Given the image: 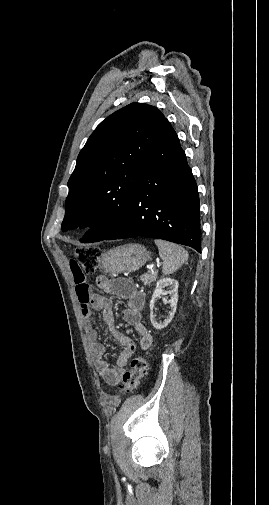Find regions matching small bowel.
Segmentation results:
<instances>
[{"mask_svg":"<svg viewBox=\"0 0 269 505\" xmlns=\"http://www.w3.org/2000/svg\"><path fill=\"white\" fill-rule=\"evenodd\" d=\"M69 265L76 284V294L82 308L85 333L96 370L105 383L115 385L127 371L128 361L134 354L136 345L129 336L115 328L111 300L90 292L87 280L96 279L99 276V271L96 269L94 274H85L83 268L79 266V261L75 259L71 260ZM96 283L105 292L127 301V307L122 312V318L140 334V348L143 350L149 349L153 343V336L142 322V310L145 304L144 292L137 289L130 278L108 280L104 276H99ZM89 305L93 309L101 310L103 320L112 336L122 346V351L117 358V365L115 367H110L103 359L106 348L98 340L97 332L93 327V313Z\"/></svg>","mask_w":269,"mask_h":505,"instance_id":"obj_1","label":"small bowel"}]
</instances>
